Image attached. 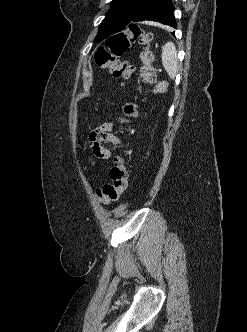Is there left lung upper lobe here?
I'll return each instance as SVG.
<instances>
[{
  "label": "left lung upper lobe",
  "instance_id": "obj_1",
  "mask_svg": "<svg viewBox=\"0 0 247 332\" xmlns=\"http://www.w3.org/2000/svg\"><path fill=\"white\" fill-rule=\"evenodd\" d=\"M148 0H113L101 22L94 42H100L125 29L128 21Z\"/></svg>",
  "mask_w": 247,
  "mask_h": 332
}]
</instances>
